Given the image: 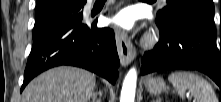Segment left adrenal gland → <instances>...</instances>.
Wrapping results in <instances>:
<instances>
[{
  "label": "left adrenal gland",
  "instance_id": "left-adrenal-gland-1",
  "mask_svg": "<svg viewBox=\"0 0 221 102\" xmlns=\"http://www.w3.org/2000/svg\"><path fill=\"white\" fill-rule=\"evenodd\" d=\"M153 102H161V99L157 98V100H153Z\"/></svg>",
  "mask_w": 221,
  "mask_h": 102
}]
</instances>
